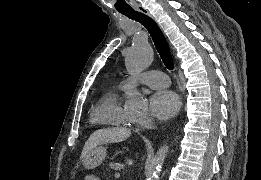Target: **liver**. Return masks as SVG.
Here are the masks:
<instances>
[{
	"label": "liver",
	"mask_w": 261,
	"mask_h": 180,
	"mask_svg": "<svg viewBox=\"0 0 261 180\" xmlns=\"http://www.w3.org/2000/svg\"><path fill=\"white\" fill-rule=\"evenodd\" d=\"M131 136L129 128H103V130H96L88 138L81 154V158H86L89 152L100 146V144H117V142H124Z\"/></svg>",
	"instance_id": "obj_1"
}]
</instances>
